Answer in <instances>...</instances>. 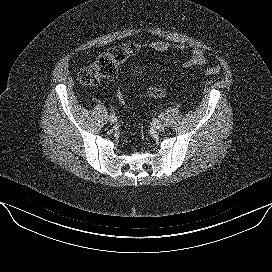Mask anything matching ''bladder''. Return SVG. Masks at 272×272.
Listing matches in <instances>:
<instances>
[{
	"label": "bladder",
	"mask_w": 272,
	"mask_h": 272,
	"mask_svg": "<svg viewBox=\"0 0 272 272\" xmlns=\"http://www.w3.org/2000/svg\"><path fill=\"white\" fill-rule=\"evenodd\" d=\"M130 76L132 78H139L142 74H143V70L141 67L137 66V67H133L130 72H129Z\"/></svg>",
	"instance_id": "1"
}]
</instances>
